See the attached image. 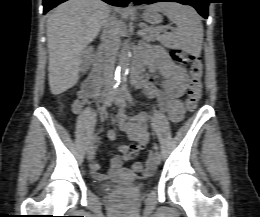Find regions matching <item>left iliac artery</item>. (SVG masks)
<instances>
[{
	"instance_id": "left-iliac-artery-1",
	"label": "left iliac artery",
	"mask_w": 260,
	"mask_h": 217,
	"mask_svg": "<svg viewBox=\"0 0 260 217\" xmlns=\"http://www.w3.org/2000/svg\"><path fill=\"white\" fill-rule=\"evenodd\" d=\"M122 92H123L124 96L126 97V99H128V101L130 103H133V98H132V96H131V94H130V92L128 90V85L125 82L122 83ZM153 148L155 150H158L159 147H158V145L156 143H154Z\"/></svg>"
}]
</instances>
